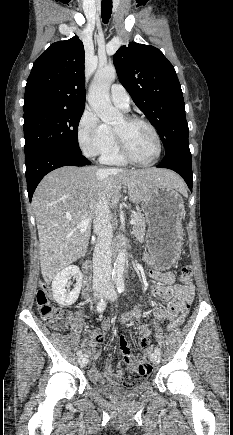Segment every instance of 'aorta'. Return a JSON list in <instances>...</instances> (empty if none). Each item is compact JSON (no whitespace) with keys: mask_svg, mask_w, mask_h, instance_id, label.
<instances>
[{"mask_svg":"<svg viewBox=\"0 0 233 435\" xmlns=\"http://www.w3.org/2000/svg\"><path fill=\"white\" fill-rule=\"evenodd\" d=\"M116 78L113 65L98 68L89 88L88 103L97 116L106 124H116L123 119V115L113 107L109 97L110 85ZM126 261V250L120 249L114 263L112 277L115 281L123 279Z\"/></svg>","mask_w":233,"mask_h":435,"instance_id":"1","label":"aorta"}]
</instances>
